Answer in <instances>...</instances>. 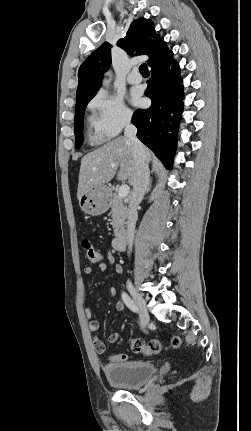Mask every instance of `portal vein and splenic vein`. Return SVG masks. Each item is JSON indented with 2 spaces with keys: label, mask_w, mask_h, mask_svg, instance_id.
<instances>
[{
  "label": "portal vein and splenic vein",
  "mask_w": 251,
  "mask_h": 431,
  "mask_svg": "<svg viewBox=\"0 0 251 431\" xmlns=\"http://www.w3.org/2000/svg\"><path fill=\"white\" fill-rule=\"evenodd\" d=\"M129 192H130L129 186L126 185V184H123L119 188L118 196L121 197V198H125V197L128 196Z\"/></svg>",
  "instance_id": "1"
}]
</instances>
